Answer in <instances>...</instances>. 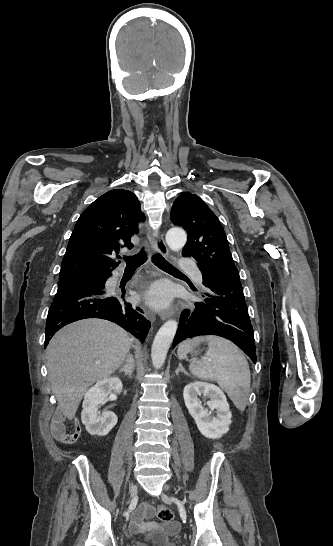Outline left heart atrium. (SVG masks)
Here are the masks:
<instances>
[{
	"label": "left heart atrium",
	"mask_w": 333,
	"mask_h": 546,
	"mask_svg": "<svg viewBox=\"0 0 333 546\" xmlns=\"http://www.w3.org/2000/svg\"><path fill=\"white\" fill-rule=\"evenodd\" d=\"M149 297L155 306H165L171 298L170 288L164 284H157L152 287Z\"/></svg>",
	"instance_id": "39dd6f15"
}]
</instances>
